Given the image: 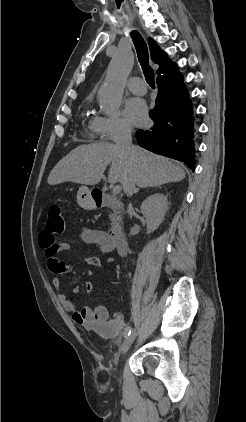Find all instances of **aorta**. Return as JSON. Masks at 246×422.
Returning a JSON list of instances; mask_svg holds the SVG:
<instances>
[{
    "label": "aorta",
    "mask_w": 246,
    "mask_h": 422,
    "mask_svg": "<svg viewBox=\"0 0 246 422\" xmlns=\"http://www.w3.org/2000/svg\"><path fill=\"white\" fill-rule=\"evenodd\" d=\"M132 66L133 55L128 49H120L111 59L104 84L98 92L100 106L106 114L117 113Z\"/></svg>",
    "instance_id": "obj_1"
}]
</instances>
